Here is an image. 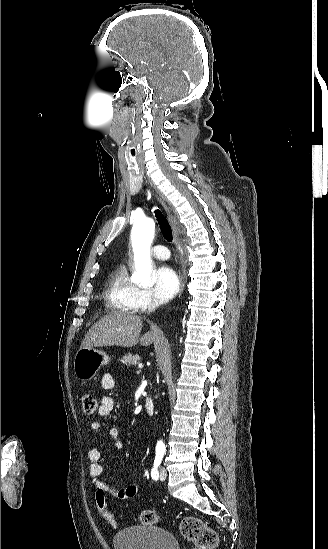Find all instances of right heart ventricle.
I'll list each match as a JSON object with an SVG mask.
<instances>
[{"label":"right heart ventricle","mask_w":328,"mask_h":549,"mask_svg":"<svg viewBox=\"0 0 328 549\" xmlns=\"http://www.w3.org/2000/svg\"><path fill=\"white\" fill-rule=\"evenodd\" d=\"M141 303H145L142 289L130 279L127 265H120L109 279L104 295V310H111V319H114V310L140 312Z\"/></svg>","instance_id":"right-heart-ventricle-1"}]
</instances>
